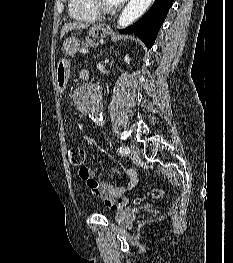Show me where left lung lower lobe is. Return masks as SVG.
I'll use <instances>...</instances> for the list:
<instances>
[{
    "instance_id": "1",
    "label": "left lung lower lobe",
    "mask_w": 233,
    "mask_h": 263,
    "mask_svg": "<svg viewBox=\"0 0 233 263\" xmlns=\"http://www.w3.org/2000/svg\"><path fill=\"white\" fill-rule=\"evenodd\" d=\"M173 0H155L149 11L135 24L121 30L125 34H135L147 47H152Z\"/></svg>"
}]
</instances>
